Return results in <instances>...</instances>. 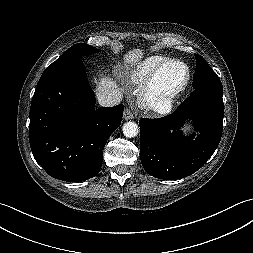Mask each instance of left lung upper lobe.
Segmentation results:
<instances>
[{
  "instance_id": "obj_1",
  "label": "left lung upper lobe",
  "mask_w": 253,
  "mask_h": 253,
  "mask_svg": "<svg viewBox=\"0 0 253 253\" xmlns=\"http://www.w3.org/2000/svg\"><path fill=\"white\" fill-rule=\"evenodd\" d=\"M197 67L193 76V88L213 87L223 89L222 83L217 74L208 66L205 59L200 55L194 54Z\"/></svg>"
}]
</instances>
